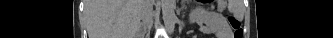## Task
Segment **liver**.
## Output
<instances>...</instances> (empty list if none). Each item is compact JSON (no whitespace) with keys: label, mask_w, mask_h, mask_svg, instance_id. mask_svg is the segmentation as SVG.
<instances>
[{"label":"liver","mask_w":333,"mask_h":38,"mask_svg":"<svg viewBox=\"0 0 333 38\" xmlns=\"http://www.w3.org/2000/svg\"><path fill=\"white\" fill-rule=\"evenodd\" d=\"M142 9L143 0H86L89 38H135Z\"/></svg>","instance_id":"obj_1"}]
</instances>
